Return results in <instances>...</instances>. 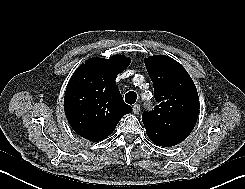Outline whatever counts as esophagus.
Here are the masks:
<instances>
[{
  "label": "esophagus",
  "mask_w": 245,
  "mask_h": 189,
  "mask_svg": "<svg viewBox=\"0 0 245 189\" xmlns=\"http://www.w3.org/2000/svg\"><path fill=\"white\" fill-rule=\"evenodd\" d=\"M133 112L135 113V114H138L139 113V111H140V105L139 104H135V105H133Z\"/></svg>",
  "instance_id": "esophagus-1"
}]
</instances>
